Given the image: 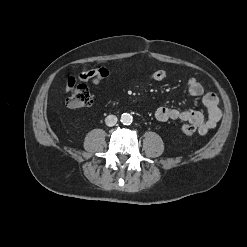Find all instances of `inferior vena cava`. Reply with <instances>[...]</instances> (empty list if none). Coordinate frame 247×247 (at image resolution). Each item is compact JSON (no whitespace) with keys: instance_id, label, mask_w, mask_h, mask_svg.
Masks as SVG:
<instances>
[{"instance_id":"inferior-vena-cava-1","label":"inferior vena cava","mask_w":247,"mask_h":247,"mask_svg":"<svg viewBox=\"0 0 247 247\" xmlns=\"http://www.w3.org/2000/svg\"><path fill=\"white\" fill-rule=\"evenodd\" d=\"M118 119L115 115H108L105 119L107 126L112 127L117 123Z\"/></svg>"}]
</instances>
